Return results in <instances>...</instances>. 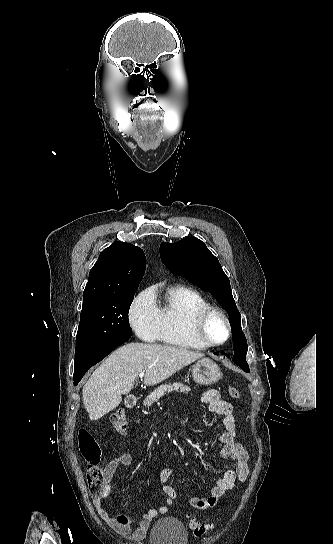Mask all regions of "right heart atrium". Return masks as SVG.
I'll return each mask as SVG.
<instances>
[{
    "instance_id": "d8ad5b80",
    "label": "right heart atrium",
    "mask_w": 333,
    "mask_h": 544,
    "mask_svg": "<svg viewBox=\"0 0 333 544\" xmlns=\"http://www.w3.org/2000/svg\"><path fill=\"white\" fill-rule=\"evenodd\" d=\"M130 324L139 338L155 342L161 335V316L152 289L142 291L129 311Z\"/></svg>"
}]
</instances>
